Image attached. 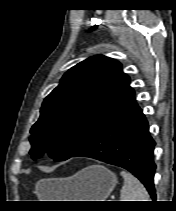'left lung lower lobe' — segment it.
I'll use <instances>...</instances> for the list:
<instances>
[{"label":"left lung lower lobe","mask_w":176,"mask_h":211,"mask_svg":"<svg viewBox=\"0 0 176 211\" xmlns=\"http://www.w3.org/2000/svg\"><path fill=\"white\" fill-rule=\"evenodd\" d=\"M154 146L148 122L134 100L99 127L72 157L94 158L127 169L155 200Z\"/></svg>","instance_id":"1"}]
</instances>
